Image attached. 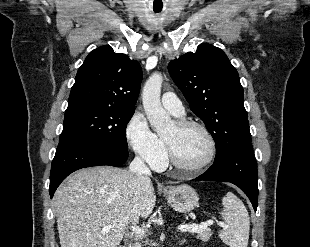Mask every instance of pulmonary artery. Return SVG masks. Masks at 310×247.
<instances>
[{"mask_svg":"<svg viewBox=\"0 0 310 247\" xmlns=\"http://www.w3.org/2000/svg\"><path fill=\"white\" fill-rule=\"evenodd\" d=\"M161 103L163 107L174 116H182L184 114V107L173 92L164 93L161 97Z\"/></svg>","mask_w":310,"mask_h":247,"instance_id":"e3ab8cb5","label":"pulmonary artery"}]
</instances>
